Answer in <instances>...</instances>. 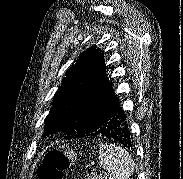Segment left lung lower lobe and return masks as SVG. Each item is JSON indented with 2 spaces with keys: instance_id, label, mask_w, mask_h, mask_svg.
I'll use <instances>...</instances> for the list:
<instances>
[{
  "instance_id": "obj_1",
  "label": "left lung lower lobe",
  "mask_w": 183,
  "mask_h": 179,
  "mask_svg": "<svg viewBox=\"0 0 183 179\" xmlns=\"http://www.w3.org/2000/svg\"><path fill=\"white\" fill-rule=\"evenodd\" d=\"M89 136H98L117 141L130 149L132 146L131 133L128 129L126 116L119 101L108 115L107 120Z\"/></svg>"
}]
</instances>
